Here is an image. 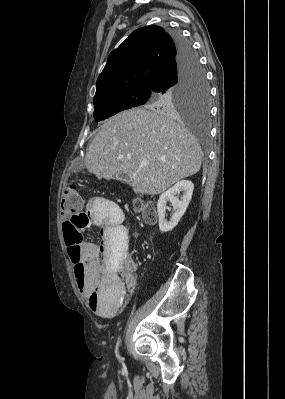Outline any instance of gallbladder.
Wrapping results in <instances>:
<instances>
[{"label": "gallbladder", "instance_id": "obj_1", "mask_svg": "<svg viewBox=\"0 0 285 399\" xmlns=\"http://www.w3.org/2000/svg\"><path fill=\"white\" fill-rule=\"evenodd\" d=\"M113 179L119 180V181L128 182V176L126 174H123V173H119V174L115 175L113 177Z\"/></svg>", "mask_w": 285, "mask_h": 399}]
</instances>
